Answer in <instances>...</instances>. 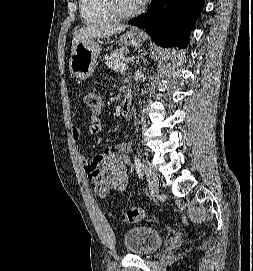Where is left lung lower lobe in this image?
Segmentation results:
<instances>
[{"label":"left lung lower lobe","mask_w":253,"mask_h":271,"mask_svg":"<svg viewBox=\"0 0 253 271\" xmlns=\"http://www.w3.org/2000/svg\"><path fill=\"white\" fill-rule=\"evenodd\" d=\"M205 0H153L146 14L130 21L162 47L185 48Z\"/></svg>","instance_id":"obj_1"}]
</instances>
